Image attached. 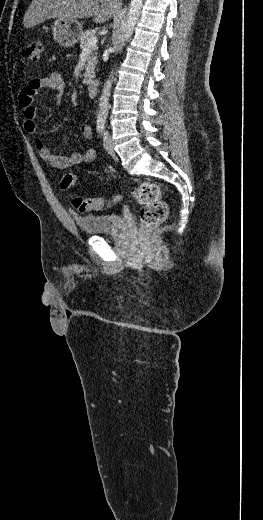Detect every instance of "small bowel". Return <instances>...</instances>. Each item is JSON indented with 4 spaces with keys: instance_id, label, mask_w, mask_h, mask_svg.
<instances>
[{
    "instance_id": "1",
    "label": "small bowel",
    "mask_w": 263,
    "mask_h": 520,
    "mask_svg": "<svg viewBox=\"0 0 263 520\" xmlns=\"http://www.w3.org/2000/svg\"><path fill=\"white\" fill-rule=\"evenodd\" d=\"M43 89H50L55 92L57 97H60L65 89L64 80L59 73L54 72L45 78L31 80L21 90L18 99L19 104L23 109V127L25 132L31 135H34L37 132L35 121L37 108L33 104L34 97ZM81 132L86 139H91L92 131L89 125H82ZM35 145L39 156L52 167L57 169H66L77 164L89 163L96 157V151L93 148H89L83 153H73L69 156H62L53 154L41 139L37 138Z\"/></svg>"
}]
</instances>
